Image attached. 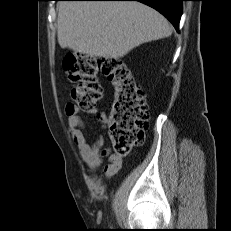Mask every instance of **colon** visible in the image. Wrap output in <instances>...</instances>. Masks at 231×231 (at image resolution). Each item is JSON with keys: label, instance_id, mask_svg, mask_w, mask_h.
I'll use <instances>...</instances> for the list:
<instances>
[{"label": "colon", "instance_id": "obj_1", "mask_svg": "<svg viewBox=\"0 0 231 231\" xmlns=\"http://www.w3.org/2000/svg\"><path fill=\"white\" fill-rule=\"evenodd\" d=\"M63 68L76 82L71 97L76 106L92 110L102 96L97 80L104 74L112 83L114 94L109 116V137L118 156L129 153L143 142L149 126V112L144 92L134 80L128 66L119 59L99 62L92 57L68 54Z\"/></svg>", "mask_w": 231, "mask_h": 231}]
</instances>
